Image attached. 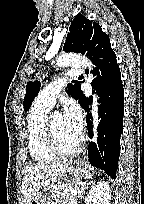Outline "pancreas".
<instances>
[{"label":"pancreas","mask_w":144,"mask_h":204,"mask_svg":"<svg viewBox=\"0 0 144 204\" xmlns=\"http://www.w3.org/2000/svg\"><path fill=\"white\" fill-rule=\"evenodd\" d=\"M65 189H73L72 186L58 187L50 196L46 204H75L76 198L71 194L64 193Z\"/></svg>","instance_id":"1"}]
</instances>
